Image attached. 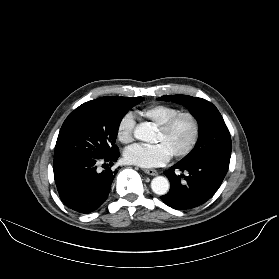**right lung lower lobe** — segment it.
Instances as JSON below:
<instances>
[{
	"label": "right lung lower lobe",
	"mask_w": 279,
	"mask_h": 279,
	"mask_svg": "<svg viewBox=\"0 0 279 279\" xmlns=\"http://www.w3.org/2000/svg\"><path fill=\"white\" fill-rule=\"evenodd\" d=\"M119 151L104 158H63L53 161L54 178L63 203L80 213L96 210L107 199L111 183L117 173L107 169L100 171L98 165L103 162L113 164Z\"/></svg>",
	"instance_id": "1"
}]
</instances>
